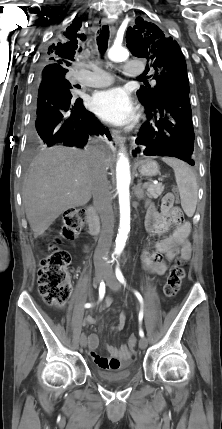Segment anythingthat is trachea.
Segmentation results:
<instances>
[{"label": "trachea", "instance_id": "3493384b", "mask_svg": "<svg viewBox=\"0 0 222 429\" xmlns=\"http://www.w3.org/2000/svg\"><path fill=\"white\" fill-rule=\"evenodd\" d=\"M108 40H109V27L107 25H104L100 30V34L97 38V45L101 55H103L107 50ZM139 79L144 82H147V79L143 76L139 77Z\"/></svg>", "mask_w": 222, "mask_h": 429}]
</instances>
